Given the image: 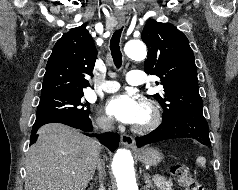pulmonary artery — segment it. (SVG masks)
<instances>
[{
	"label": "pulmonary artery",
	"mask_w": 238,
	"mask_h": 190,
	"mask_svg": "<svg viewBox=\"0 0 238 190\" xmlns=\"http://www.w3.org/2000/svg\"><path fill=\"white\" fill-rule=\"evenodd\" d=\"M127 82L130 85L139 86L144 84L145 75L140 70H131L127 74ZM120 87V84L117 81L107 80L102 84V90L107 93H113L117 91Z\"/></svg>",
	"instance_id": "e3ab8cb5"
}]
</instances>
